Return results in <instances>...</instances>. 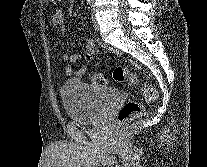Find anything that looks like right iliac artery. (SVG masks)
Returning a JSON list of instances; mask_svg holds the SVG:
<instances>
[{"label":"right iliac artery","mask_w":207,"mask_h":167,"mask_svg":"<svg viewBox=\"0 0 207 167\" xmlns=\"http://www.w3.org/2000/svg\"><path fill=\"white\" fill-rule=\"evenodd\" d=\"M88 4L90 5L91 4V2L88 0Z\"/></svg>","instance_id":"right-iliac-artery-1"}]
</instances>
